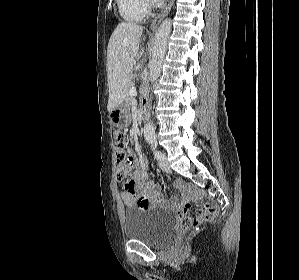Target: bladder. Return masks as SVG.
Returning <instances> with one entry per match:
<instances>
[{
  "mask_svg": "<svg viewBox=\"0 0 299 280\" xmlns=\"http://www.w3.org/2000/svg\"><path fill=\"white\" fill-rule=\"evenodd\" d=\"M176 226L173 213L160 206L128 210L123 219L126 238L155 248L164 247L170 242Z\"/></svg>",
  "mask_w": 299,
  "mask_h": 280,
  "instance_id": "1",
  "label": "bladder"
}]
</instances>
